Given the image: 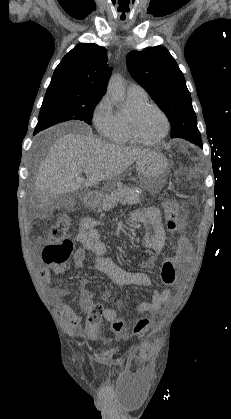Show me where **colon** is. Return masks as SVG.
I'll use <instances>...</instances> for the list:
<instances>
[{
	"instance_id": "1",
	"label": "colon",
	"mask_w": 231,
	"mask_h": 419,
	"mask_svg": "<svg viewBox=\"0 0 231 419\" xmlns=\"http://www.w3.org/2000/svg\"><path fill=\"white\" fill-rule=\"evenodd\" d=\"M165 224L169 232H175L178 228V219L180 216V205L175 200H169L164 206ZM71 227L68 217H62L57 220L50 228V235L53 241L47 244L42 256L46 264L62 265L66 263L73 251V242L65 237ZM159 278L163 282V286L168 290H173L176 286V260L173 253H164L162 263L159 265ZM104 312V308L100 304H95L91 308V315L99 319ZM146 319L141 318L133 325V333L144 337ZM111 330L116 334L123 332V320L118 316H113L111 321ZM145 349L152 348L151 344H145Z\"/></svg>"
}]
</instances>
